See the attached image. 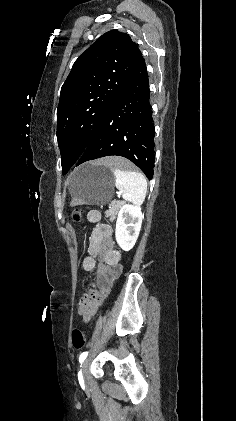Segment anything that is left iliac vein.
<instances>
[{
	"label": "left iliac vein",
	"instance_id": "obj_1",
	"mask_svg": "<svg viewBox=\"0 0 236 421\" xmlns=\"http://www.w3.org/2000/svg\"><path fill=\"white\" fill-rule=\"evenodd\" d=\"M90 363H91V360L86 359L83 363V366H82V377H83V382H84L85 386L88 384V381H89Z\"/></svg>",
	"mask_w": 236,
	"mask_h": 421
}]
</instances>
